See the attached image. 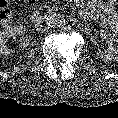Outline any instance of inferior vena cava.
Wrapping results in <instances>:
<instances>
[{
  "instance_id": "inferior-vena-cava-1",
  "label": "inferior vena cava",
  "mask_w": 118,
  "mask_h": 118,
  "mask_svg": "<svg viewBox=\"0 0 118 118\" xmlns=\"http://www.w3.org/2000/svg\"><path fill=\"white\" fill-rule=\"evenodd\" d=\"M44 20H46V18L43 17V16H41V17H39V18H37V19H34V24H35V26L41 25V23H43Z\"/></svg>"
}]
</instances>
